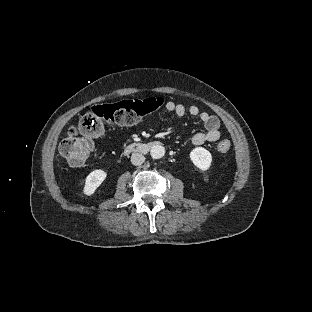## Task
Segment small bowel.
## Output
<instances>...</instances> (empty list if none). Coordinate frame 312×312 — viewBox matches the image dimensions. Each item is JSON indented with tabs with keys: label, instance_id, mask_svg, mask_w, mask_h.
<instances>
[{
	"label": "small bowel",
	"instance_id": "c3829d8e",
	"mask_svg": "<svg viewBox=\"0 0 312 312\" xmlns=\"http://www.w3.org/2000/svg\"><path fill=\"white\" fill-rule=\"evenodd\" d=\"M167 111L174 113L177 117L182 118L189 114L193 117H198L206 128L205 132H198L192 136V143L194 145H202L206 142H215L221 136L220 120L208 112L200 110L197 105H190L186 107L182 103L169 101L166 103Z\"/></svg>",
	"mask_w": 312,
	"mask_h": 312
}]
</instances>
